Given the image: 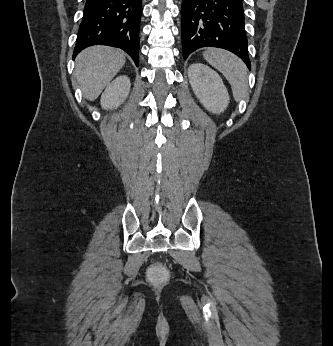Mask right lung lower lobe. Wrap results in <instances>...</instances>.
I'll list each match as a JSON object with an SVG mask.
<instances>
[{"label":"right lung lower lobe","instance_id":"98d812e1","mask_svg":"<svg viewBox=\"0 0 333 346\" xmlns=\"http://www.w3.org/2000/svg\"><path fill=\"white\" fill-rule=\"evenodd\" d=\"M141 0H86L73 58L86 47L108 45L127 52L138 66Z\"/></svg>","mask_w":333,"mask_h":346}]
</instances>
